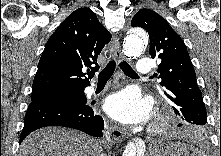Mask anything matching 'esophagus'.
Segmentation results:
<instances>
[{"label":"esophagus","mask_w":221,"mask_h":156,"mask_svg":"<svg viewBox=\"0 0 221 156\" xmlns=\"http://www.w3.org/2000/svg\"><path fill=\"white\" fill-rule=\"evenodd\" d=\"M111 51L116 58L117 62H120L124 60V56L121 50L120 40L118 37H115L112 43ZM127 132L123 129L113 128L112 129V135L114 140L121 141L125 136Z\"/></svg>","instance_id":"34e87169"}]
</instances>
